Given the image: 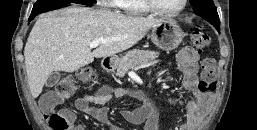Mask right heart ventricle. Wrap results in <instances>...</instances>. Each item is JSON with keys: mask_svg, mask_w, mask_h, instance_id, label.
<instances>
[{"mask_svg": "<svg viewBox=\"0 0 257 130\" xmlns=\"http://www.w3.org/2000/svg\"><path fill=\"white\" fill-rule=\"evenodd\" d=\"M115 7L127 15H145L151 11L147 8L143 0H115Z\"/></svg>", "mask_w": 257, "mask_h": 130, "instance_id": "e07e8e85", "label": "right heart ventricle"}]
</instances>
